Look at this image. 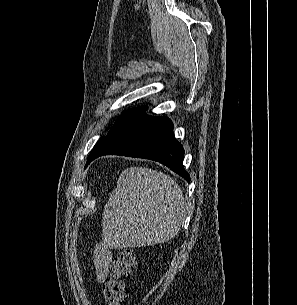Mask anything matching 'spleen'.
Here are the masks:
<instances>
[{
  "label": "spleen",
  "instance_id": "3e777b00",
  "mask_svg": "<svg viewBox=\"0 0 297 305\" xmlns=\"http://www.w3.org/2000/svg\"><path fill=\"white\" fill-rule=\"evenodd\" d=\"M184 212L183 192L174 179L130 167L120 174L104 208L103 233L118 247L162 243L177 235Z\"/></svg>",
  "mask_w": 297,
  "mask_h": 305
}]
</instances>
